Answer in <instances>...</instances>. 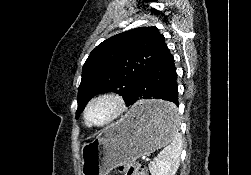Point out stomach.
<instances>
[{
  "mask_svg": "<svg viewBox=\"0 0 251 175\" xmlns=\"http://www.w3.org/2000/svg\"><path fill=\"white\" fill-rule=\"evenodd\" d=\"M173 100H139L130 111L104 127L93 141L81 147L82 175H107L113 167L124 165L141 155H148L159 147H165L172 134H180L179 118Z\"/></svg>",
  "mask_w": 251,
  "mask_h": 175,
  "instance_id": "1",
  "label": "stomach"
}]
</instances>
